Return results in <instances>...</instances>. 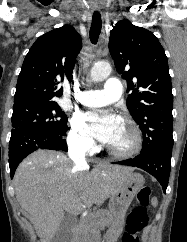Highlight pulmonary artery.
Instances as JSON below:
<instances>
[{
	"label": "pulmonary artery",
	"mask_w": 187,
	"mask_h": 242,
	"mask_svg": "<svg viewBox=\"0 0 187 242\" xmlns=\"http://www.w3.org/2000/svg\"><path fill=\"white\" fill-rule=\"evenodd\" d=\"M122 93V84L117 78L106 80L101 90H86L81 92V102L90 107L104 106L116 101Z\"/></svg>",
	"instance_id": "pulmonary-artery-1"
}]
</instances>
